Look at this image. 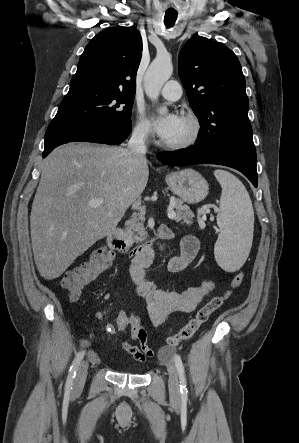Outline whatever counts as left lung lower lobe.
I'll list each match as a JSON object with an SVG mask.
<instances>
[{
	"label": "left lung lower lobe",
	"mask_w": 299,
	"mask_h": 443,
	"mask_svg": "<svg viewBox=\"0 0 299 443\" xmlns=\"http://www.w3.org/2000/svg\"><path fill=\"white\" fill-rule=\"evenodd\" d=\"M157 159L166 165L218 164L242 172L257 187L254 147L210 149L197 145L174 152H161Z\"/></svg>",
	"instance_id": "1"
}]
</instances>
